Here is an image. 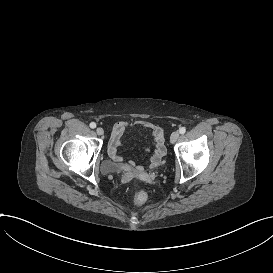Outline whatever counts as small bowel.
Segmentation results:
<instances>
[{"mask_svg": "<svg viewBox=\"0 0 273 273\" xmlns=\"http://www.w3.org/2000/svg\"><path fill=\"white\" fill-rule=\"evenodd\" d=\"M141 124L143 127L153 130L155 134V140L157 143L154 145L152 150L150 166L152 168H157L161 164V159L166 158L168 155L167 150L164 149L162 144L166 140L165 130L160 125L154 127L150 122H142ZM129 127L130 124L124 121L114 124L109 140L108 154L114 162L120 164L126 171L142 172L144 170L142 165H137L134 162H123V158L119 153V149L122 146V136Z\"/></svg>", "mask_w": 273, "mask_h": 273, "instance_id": "small-bowel-1", "label": "small bowel"}]
</instances>
